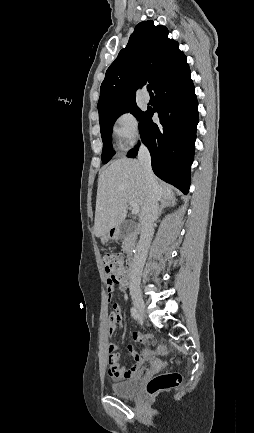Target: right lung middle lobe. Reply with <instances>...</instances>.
Here are the masks:
<instances>
[{"label": "right lung middle lobe", "mask_w": 254, "mask_h": 433, "mask_svg": "<svg viewBox=\"0 0 254 433\" xmlns=\"http://www.w3.org/2000/svg\"><path fill=\"white\" fill-rule=\"evenodd\" d=\"M132 113L139 121L145 114L141 111L136 102L124 104L117 108L108 110L99 115L101 137L103 141L102 162L107 163L115 153L112 150V128L116 119L124 113Z\"/></svg>", "instance_id": "obj_1"}]
</instances>
